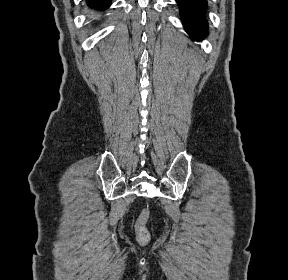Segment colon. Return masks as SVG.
Segmentation results:
<instances>
[{"label": "colon", "instance_id": "5ec220e1", "mask_svg": "<svg viewBox=\"0 0 288 280\" xmlns=\"http://www.w3.org/2000/svg\"><path fill=\"white\" fill-rule=\"evenodd\" d=\"M150 218V210L149 208H145L141 214L139 215L136 225H135V230H136V235L137 238L140 242L145 243L149 240L150 234L147 229V223Z\"/></svg>", "mask_w": 288, "mask_h": 280}]
</instances>
